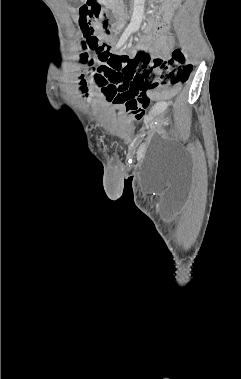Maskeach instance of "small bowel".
<instances>
[{
  "mask_svg": "<svg viewBox=\"0 0 241 379\" xmlns=\"http://www.w3.org/2000/svg\"><path fill=\"white\" fill-rule=\"evenodd\" d=\"M178 2V0H171ZM165 13L167 16L171 13V7L166 5ZM173 45V40L167 36L166 31L157 26L149 31L144 37L143 49L149 48L152 54L160 58H168ZM176 88L157 90L156 86H151L150 83H139L137 89L116 90L111 99L117 109L123 110L130 122L141 120L150 110L151 99L163 103L177 93ZM155 109L152 113L156 114ZM150 118V116H147Z\"/></svg>",
  "mask_w": 241,
  "mask_h": 379,
  "instance_id": "1",
  "label": "small bowel"
}]
</instances>
